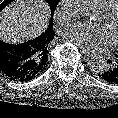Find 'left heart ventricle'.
Here are the masks:
<instances>
[{
    "mask_svg": "<svg viewBox=\"0 0 118 118\" xmlns=\"http://www.w3.org/2000/svg\"><path fill=\"white\" fill-rule=\"evenodd\" d=\"M104 25L112 35L113 41L118 39V16L111 22H104Z\"/></svg>",
    "mask_w": 118,
    "mask_h": 118,
    "instance_id": "b2bd125f",
    "label": "left heart ventricle"
}]
</instances>
